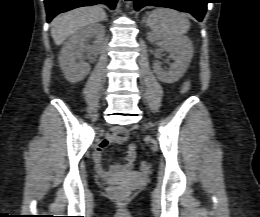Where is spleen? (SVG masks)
I'll return each instance as SVG.
<instances>
[{
  "label": "spleen",
  "mask_w": 260,
  "mask_h": 217,
  "mask_svg": "<svg viewBox=\"0 0 260 217\" xmlns=\"http://www.w3.org/2000/svg\"><path fill=\"white\" fill-rule=\"evenodd\" d=\"M147 25L158 35L179 36L187 33L190 22L186 15L173 9L159 8L153 10Z\"/></svg>",
  "instance_id": "obj_1"
}]
</instances>
